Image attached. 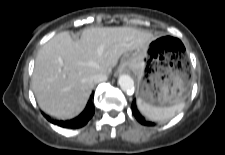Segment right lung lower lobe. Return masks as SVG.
Returning <instances> with one entry per match:
<instances>
[{"label": "right lung lower lobe", "instance_id": "obj_1", "mask_svg": "<svg viewBox=\"0 0 225 155\" xmlns=\"http://www.w3.org/2000/svg\"><path fill=\"white\" fill-rule=\"evenodd\" d=\"M92 95H93V93H92ZM91 99H92V96H91L90 100L88 101V104H87L85 110L78 117H76L72 120L58 121V120H54V119L50 118L49 116H47L45 114H44V116L51 123L56 124L61 127H65V128L83 127L91 119V117L94 115V112H95L94 104L92 103Z\"/></svg>", "mask_w": 225, "mask_h": 155}]
</instances>
